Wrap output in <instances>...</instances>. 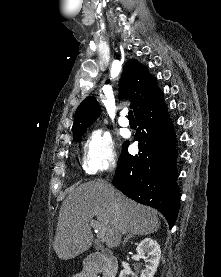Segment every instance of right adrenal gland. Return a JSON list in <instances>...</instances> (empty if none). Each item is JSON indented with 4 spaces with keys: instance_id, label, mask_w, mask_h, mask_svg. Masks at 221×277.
Instances as JSON below:
<instances>
[{
    "instance_id": "obj_1",
    "label": "right adrenal gland",
    "mask_w": 221,
    "mask_h": 277,
    "mask_svg": "<svg viewBox=\"0 0 221 277\" xmlns=\"http://www.w3.org/2000/svg\"><path fill=\"white\" fill-rule=\"evenodd\" d=\"M136 236V234H128L125 238H124V241H123V244H125L130 238Z\"/></svg>"
}]
</instances>
